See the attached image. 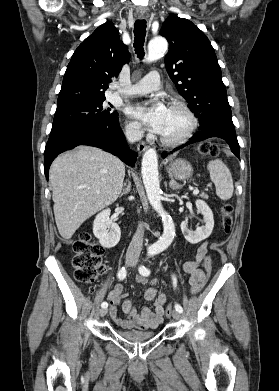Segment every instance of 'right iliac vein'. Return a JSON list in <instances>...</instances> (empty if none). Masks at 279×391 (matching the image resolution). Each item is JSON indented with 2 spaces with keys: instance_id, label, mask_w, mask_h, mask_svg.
I'll use <instances>...</instances> for the list:
<instances>
[{
  "instance_id": "right-iliac-vein-1",
  "label": "right iliac vein",
  "mask_w": 279,
  "mask_h": 391,
  "mask_svg": "<svg viewBox=\"0 0 279 391\" xmlns=\"http://www.w3.org/2000/svg\"><path fill=\"white\" fill-rule=\"evenodd\" d=\"M126 264L129 266H132L133 264H135V258L132 256H127L126 257ZM107 313H108V310L106 308H103L100 310V315L102 317L105 316Z\"/></svg>"
}]
</instances>
